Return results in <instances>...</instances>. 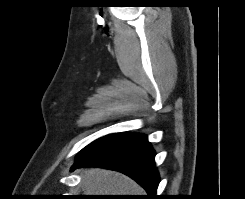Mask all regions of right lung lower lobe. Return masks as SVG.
<instances>
[{
  "mask_svg": "<svg viewBox=\"0 0 245 199\" xmlns=\"http://www.w3.org/2000/svg\"><path fill=\"white\" fill-rule=\"evenodd\" d=\"M154 157L155 152L146 135L114 133L79 152L71 170L102 167L122 172L146 190V199H157L156 189L160 179Z\"/></svg>",
  "mask_w": 245,
  "mask_h": 199,
  "instance_id": "right-lung-lower-lobe-1",
  "label": "right lung lower lobe"
}]
</instances>
